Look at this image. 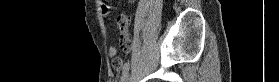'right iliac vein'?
I'll list each match as a JSON object with an SVG mask.
<instances>
[{
    "label": "right iliac vein",
    "mask_w": 279,
    "mask_h": 82,
    "mask_svg": "<svg viewBox=\"0 0 279 82\" xmlns=\"http://www.w3.org/2000/svg\"><path fill=\"white\" fill-rule=\"evenodd\" d=\"M124 82H129V81H128V77H126V79H125V81H124Z\"/></svg>",
    "instance_id": "obj_1"
}]
</instances>
